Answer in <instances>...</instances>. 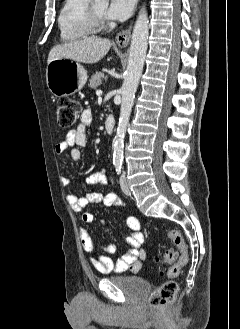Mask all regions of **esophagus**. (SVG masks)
<instances>
[{
	"instance_id": "1",
	"label": "esophagus",
	"mask_w": 240,
	"mask_h": 329,
	"mask_svg": "<svg viewBox=\"0 0 240 329\" xmlns=\"http://www.w3.org/2000/svg\"><path fill=\"white\" fill-rule=\"evenodd\" d=\"M132 25H130L127 29L119 32L116 36V43L119 47H125L128 45L131 37Z\"/></svg>"
}]
</instances>
